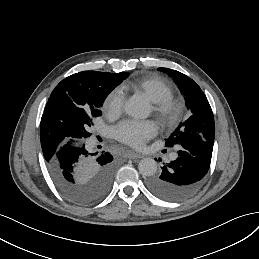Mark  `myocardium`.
Instances as JSON below:
<instances>
[{"instance_id":"1","label":"myocardium","mask_w":259,"mask_h":259,"mask_svg":"<svg viewBox=\"0 0 259 259\" xmlns=\"http://www.w3.org/2000/svg\"><path fill=\"white\" fill-rule=\"evenodd\" d=\"M152 112L166 129L172 130L182 118L183 103L175 97L152 102Z\"/></svg>"}]
</instances>
